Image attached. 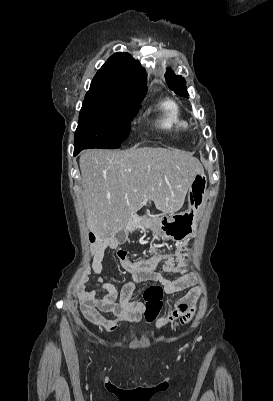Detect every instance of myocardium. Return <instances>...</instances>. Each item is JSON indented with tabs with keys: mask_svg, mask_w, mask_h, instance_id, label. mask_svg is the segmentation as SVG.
Listing matches in <instances>:
<instances>
[{
	"mask_svg": "<svg viewBox=\"0 0 273 401\" xmlns=\"http://www.w3.org/2000/svg\"><path fill=\"white\" fill-rule=\"evenodd\" d=\"M197 130H198V128L196 126L190 128V132L192 134H195L197 132Z\"/></svg>",
	"mask_w": 273,
	"mask_h": 401,
	"instance_id": "1",
	"label": "myocardium"
}]
</instances>
